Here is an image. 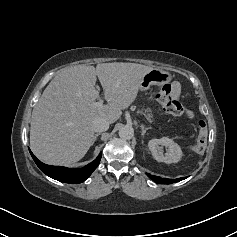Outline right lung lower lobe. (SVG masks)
<instances>
[{
    "instance_id": "obj_1",
    "label": "right lung lower lobe",
    "mask_w": 237,
    "mask_h": 237,
    "mask_svg": "<svg viewBox=\"0 0 237 237\" xmlns=\"http://www.w3.org/2000/svg\"><path fill=\"white\" fill-rule=\"evenodd\" d=\"M29 151L36 165L40 168V170L43 173L60 182L71 183V184H77L85 181L91 175V173L97 168L102 156V154L100 153L99 156L93 162L89 163L83 168L70 169L62 166L46 165L41 161H39L35 157V155L31 152L30 149Z\"/></svg>"
}]
</instances>
